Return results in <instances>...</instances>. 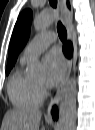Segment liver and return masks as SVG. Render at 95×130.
Returning a JSON list of instances; mask_svg holds the SVG:
<instances>
[{"label":"liver","mask_w":95,"mask_h":130,"mask_svg":"<svg viewBox=\"0 0 95 130\" xmlns=\"http://www.w3.org/2000/svg\"><path fill=\"white\" fill-rule=\"evenodd\" d=\"M41 117L42 113L38 110L12 109L4 115L1 130H39Z\"/></svg>","instance_id":"obj_1"}]
</instances>
